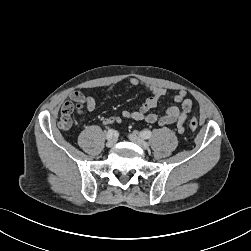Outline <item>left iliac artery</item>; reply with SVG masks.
I'll list each match as a JSON object with an SVG mask.
<instances>
[{"label":"left iliac artery","mask_w":251,"mask_h":251,"mask_svg":"<svg viewBox=\"0 0 251 251\" xmlns=\"http://www.w3.org/2000/svg\"><path fill=\"white\" fill-rule=\"evenodd\" d=\"M151 135H152V132L147 129L140 132V136L144 139H149Z\"/></svg>","instance_id":"obj_1"}]
</instances>
